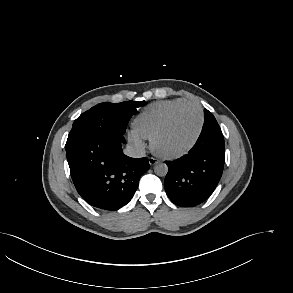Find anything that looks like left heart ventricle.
I'll return each mask as SVG.
<instances>
[{
	"label": "left heart ventricle",
	"instance_id": "left-heart-ventricle-1",
	"mask_svg": "<svg viewBox=\"0 0 293 293\" xmlns=\"http://www.w3.org/2000/svg\"><path fill=\"white\" fill-rule=\"evenodd\" d=\"M200 124L199 111L187 107L180 111L167 130L158 140V147L164 152H177L184 149L193 140Z\"/></svg>",
	"mask_w": 293,
	"mask_h": 293
}]
</instances>
